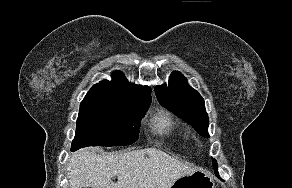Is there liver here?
Returning <instances> with one entry per match:
<instances>
[{"instance_id": "obj_1", "label": "liver", "mask_w": 292, "mask_h": 188, "mask_svg": "<svg viewBox=\"0 0 292 188\" xmlns=\"http://www.w3.org/2000/svg\"><path fill=\"white\" fill-rule=\"evenodd\" d=\"M196 170L154 147L102 155L95 148H84L70 157L67 177L69 188H170Z\"/></svg>"}]
</instances>
